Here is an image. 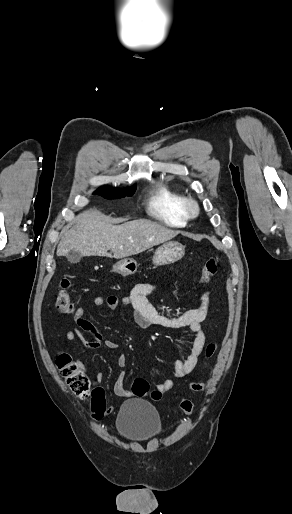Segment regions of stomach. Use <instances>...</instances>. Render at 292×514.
Here are the masks:
<instances>
[{
	"instance_id": "0dacf381",
	"label": "stomach",
	"mask_w": 292,
	"mask_h": 514,
	"mask_svg": "<svg viewBox=\"0 0 292 514\" xmlns=\"http://www.w3.org/2000/svg\"><path fill=\"white\" fill-rule=\"evenodd\" d=\"M184 256V248L179 242H167L160 246L156 250L153 256L154 266H165V264H174L177 260H181ZM112 272H117L121 276H130L137 272V262L133 258H124L119 260L115 266H113Z\"/></svg>"
}]
</instances>
